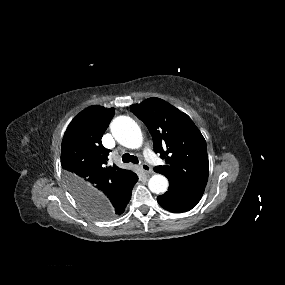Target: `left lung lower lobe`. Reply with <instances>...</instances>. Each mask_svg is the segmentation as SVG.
I'll list each match as a JSON object with an SVG mask.
<instances>
[{
	"label": "left lung lower lobe",
	"instance_id": "1",
	"mask_svg": "<svg viewBox=\"0 0 285 285\" xmlns=\"http://www.w3.org/2000/svg\"><path fill=\"white\" fill-rule=\"evenodd\" d=\"M169 179L168 191L157 197L162 208L179 213L191 210L200 201L205 187L190 185L173 178Z\"/></svg>",
	"mask_w": 285,
	"mask_h": 285
}]
</instances>
